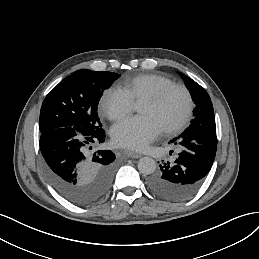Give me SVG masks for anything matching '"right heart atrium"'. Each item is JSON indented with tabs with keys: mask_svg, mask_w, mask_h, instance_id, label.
Returning a JSON list of instances; mask_svg holds the SVG:
<instances>
[{
	"mask_svg": "<svg viewBox=\"0 0 259 259\" xmlns=\"http://www.w3.org/2000/svg\"><path fill=\"white\" fill-rule=\"evenodd\" d=\"M104 116L110 120H118L130 113L133 103L113 88L106 89L100 98Z\"/></svg>",
	"mask_w": 259,
	"mask_h": 259,
	"instance_id": "right-heart-atrium-1",
	"label": "right heart atrium"
}]
</instances>
